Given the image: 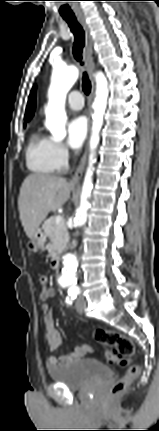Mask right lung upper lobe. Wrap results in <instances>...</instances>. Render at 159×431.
Segmentation results:
<instances>
[{
	"mask_svg": "<svg viewBox=\"0 0 159 431\" xmlns=\"http://www.w3.org/2000/svg\"><path fill=\"white\" fill-rule=\"evenodd\" d=\"M35 87L33 88V90L30 93V96L28 98V104L26 107V113H25V121H29L33 114H34V109H35Z\"/></svg>",
	"mask_w": 159,
	"mask_h": 431,
	"instance_id": "obj_1",
	"label": "right lung upper lobe"
}]
</instances>
